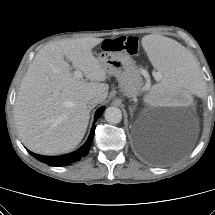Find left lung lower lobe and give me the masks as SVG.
Listing matches in <instances>:
<instances>
[{
	"instance_id": "1",
	"label": "left lung lower lobe",
	"mask_w": 215,
	"mask_h": 215,
	"mask_svg": "<svg viewBox=\"0 0 215 215\" xmlns=\"http://www.w3.org/2000/svg\"><path fill=\"white\" fill-rule=\"evenodd\" d=\"M138 149L143 156L153 162H157L158 152L152 146L143 143L138 146Z\"/></svg>"
}]
</instances>
